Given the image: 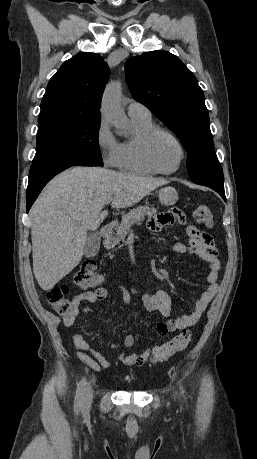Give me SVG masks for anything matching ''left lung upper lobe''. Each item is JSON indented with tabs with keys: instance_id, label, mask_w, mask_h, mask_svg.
Listing matches in <instances>:
<instances>
[{
	"instance_id": "1",
	"label": "left lung upper lobe",
	"mask_w": 257,
	"mask_h": 459,
	"mask_svg": "<svg viewBox=\"0 0 257 459\" xmlns=\"http://www.w3.org/2000/svg\"><path fill=\"white\" fill-rule=\"evenodd\" d=\"M133 98L145 105L180 139L188 152L187 171L197 184L224 186L214 150L204 93L193 73L167 51H152L125 64Z\"/></svg>"
}]
</instances>
